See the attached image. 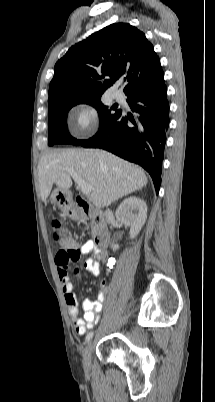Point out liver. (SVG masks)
I'll return each instance as SVG.
<instances>
[{
  "mask_svg": "<svg viewBox=\"0 0 215 402\" xmlns=\"http://www.w3.org/2000/svg\"><path fill=\"white\" fill-rule=\"evenodd\" d=\"M64 168L72 169L92 186L90 199L97 208L109 206L142 189L148 182L141 168L107 151L68 149L48 153L40 159L38 171L42 201L47 200L53 184L62 190L72 186V179Z\"/></svg>",
  "mask_w": 215,
  "mask_h": 402,
  "instance_id": "1",
  "label": "liver"
}]
</instances>
